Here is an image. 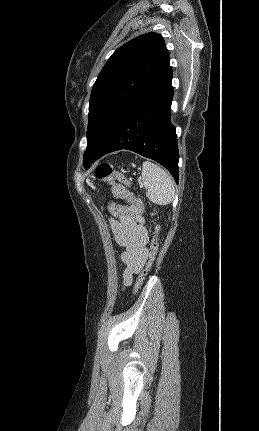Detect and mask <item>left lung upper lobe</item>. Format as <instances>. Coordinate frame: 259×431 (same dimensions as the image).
I'll use <instances>...</instances> for the list:
<instances>
[{
    "label": "left lung upper lobe",
    "mask_w": 259,
    "mask_h": 431,
    "mask_svg": "<svg viewBox=\"0 0 259 431\" xmlns=\"http://www.w3.org/2000/svg\"><path fill=\"white\" fill-rule=\"evenodd\" d=\"M171 70L161 35H140L118 48L102 68L89 103L85 168L121 118Z\"/></svg>",
    "instance_id": "5c2ea615"
}]
</instances>
